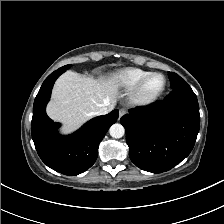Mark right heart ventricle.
<instances>
[{
	"label": "right heart ventricle",
	"mask_w": 224,
	"mask_h": 224,
	"mask_svg": "<svg viewBox=\"0 0 224 224\" xmlns=\"http://www.w3.org/2000/svg\"><path fill=\"white\" fill-rule=\"evenodd\" d=\"M148 73H150V71L136 67H128L119 70L113 75L112 79L116 85L125 89H131Z\"/></svg>",
	"instance_id": "right-heart-ventricle-1"
}]
</instances>
